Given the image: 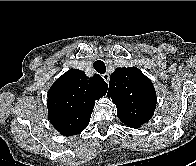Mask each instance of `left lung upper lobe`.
<instances>
[{
	"mask_svg": "<svg viewBox=\"0 0 196 166\" xmlns=\"http://www.w3.org/2000/svg\"><path fill=\"white\" fill-rule=\"evenodd\" d=\"M107 96L115 103L118 118L131 128L148 122L156 108L154 86L137 67L117 68L111 74Z\"/></svg>",
	"mask_w": 196,
	"mask_h": 166,
	"instance_id": "1",
	"label": "left lung upper lobe"
}]
</instances>
